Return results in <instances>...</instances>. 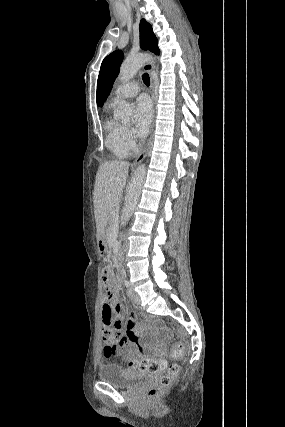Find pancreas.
<instances>
[{
	"label": "pancreas",
	"mask_w": 285,
	"mask_h": 427,
	"mask_svg": "<svg viewBox=\"0 0 285 427\" xmlns=\"http://www.w3.org/2000/svg\"><path fill=\"white\" fill-rule=\"evenodd\" d=\"M115 218H114V215H113V211L111 212V226H110V228H109V234L110 235H112V231H113V229H114V227H115Z\"/></svg>",
	"instance_id": "cf45deb5"
}]
</instances>
